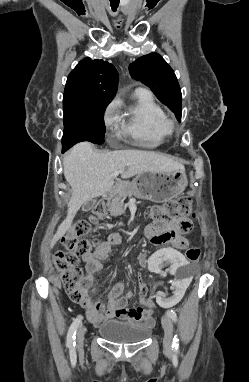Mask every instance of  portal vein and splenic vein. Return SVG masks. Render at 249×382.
Listing matches in <instances>:
<instances>
[{
	"label": "portal vein and splenic vein",
	"mask_w": 249,
	"mask_h": 382,
	"mask_svg": "<svg viewBox=\"0 0 249 382\" xmlns=\"http://www.w3.org/2000/svg\"><path fill=\"white\" fill-rule=\"evenodd\" d=\"M119 173H121V171H115V172H114V175L117 176Z\"/></svg>",
	"instance_id": "portal-vein-and-splenic-vein-1"
}]
</instances>
